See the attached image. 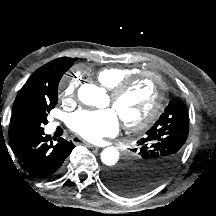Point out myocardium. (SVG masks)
<instances>
[{"label":"myocardium","mask_w":216,"mask_h":216,"mask_svg":"<svg viewBox=\"0 0 216 216\" xmlns=\"http://www.w3.org/2000/svg\"><path fill=\"white\" fill-rule=\"evenodd\" d=\"M144 77H150L155 81L157 85V94L145 117L136 121H126L122 119L124 127L131 131L143 130L153 123L158 113L161 111L165 101L167 90L165 80L163 79L162 75L156 71H141L121 81L113 89H111L110 92L112 104L116 105L121 97Z\"/></svg>","instance_id":"myocardium-1"}]
</instances>
